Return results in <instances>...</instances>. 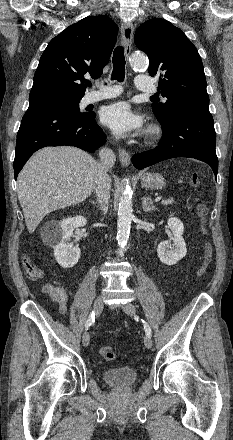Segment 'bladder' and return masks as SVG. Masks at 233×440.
Listing matches in <instances>:
<instances>
[{"mask_svg":"<svg viewBox=\"0 0 233 440\" xmlns=\"http://www.w3.org/2000/svg\"><path fill=\"white\" fill-rule=\"evenodd\" d=\"M102 379L115 388L131 387L137 379V371L131 367H117L104 370Z\"/></svg>","mask_w":233,"mask_h":440,"instance_id":"bladder-1","label":"bladder"}]
</instances>
